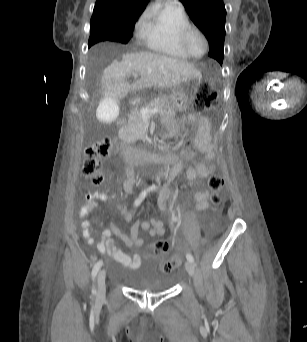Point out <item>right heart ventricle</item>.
Returning <instances> with one entry per match:
<instances>
[{"label": "right heart ventricle", "instance_id": "1", "mask_svg": "<svg viewBox=\"0 0 307 342\" xmlns=\"http://www.w3.org/2000/svg\"><path fill=\"white\" fill-rule=\"evenodd\" d=\"M190 21V13L185 8H168L160 17V31L156 34L133 39V50L178 61H189L179 46V34L181 29Z\"/></svg>", "mask_w": 307, "mask_h": 342}]
</instances>
